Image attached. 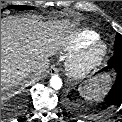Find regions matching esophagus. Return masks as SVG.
I'll return each mask as SVG.
<instances>
[{
    "mask_svg": "<svg viewBox=\"0 0 122 122\" xmlns=\"http://www.w3.org/2000/svg\"><path fill=\"white\" fill-rule=\"evenodd\" d=\"M48 73L50 75H56L59 73V70L55 67V66H52L49 70H48Z\"/></svg>",
    "mask_w": 122,
    "mask_h": 122,
    "instance_id": "obj_1",
    "label": "esophagus"
}]
</instances>
